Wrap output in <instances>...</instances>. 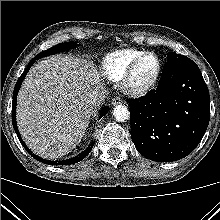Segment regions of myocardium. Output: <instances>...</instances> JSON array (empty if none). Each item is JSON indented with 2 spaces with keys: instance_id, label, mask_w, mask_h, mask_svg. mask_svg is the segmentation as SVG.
<instances>
[{
  "instance_id": "obj_1",
  "label": "myocardium",
  "mask_w": 220,
  "mask_h": 220,
  "mask_svg": "<svg viewBox=\"0 0 220 220\" xmlns=\"http://www.w3.org/2000/svg\"><path fill=\"white\" fill-rule=\"evenodd\" d=\"M147 56L155 57L157 63L155 72L149 80H147L144 83L137 84L134 82L135 71L138 65L140 64V62ZM161 67H162L161 60L159 56L154 52L145 51L144 53H142L132 61V63L129 65L126 72L120 79V86L122 91L127 95L135 96V97L144 95L156 84L161 73Z\"/></svg>"
}]
</instances>
